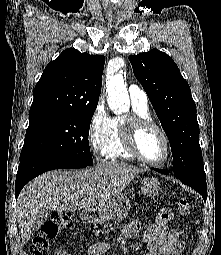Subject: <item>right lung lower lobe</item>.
<instances>
[{"label": "right lung lower lobe", "mask_w": 221, "mask_h": 255, "mask_svg": "<svg viewBox=\"0 0 221 255\" xmlns=\"http://www.w3.org/2000/svg\"><path fill=\"white\" fill-rule=\"evenodd\" d=\"M89 165L65 162L45 158H24L20 161L15 183V196L18 197L21 189L34 177L53 169L84 168Z\"/></svg>", "instance_id": "obj_1"}]
</instances>
